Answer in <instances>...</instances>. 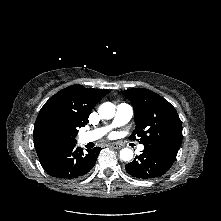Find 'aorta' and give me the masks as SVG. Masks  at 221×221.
<instances>
[{"mask_svg": "<svg viewBox=\"0 0 221 221\" xmlns=\"http://www.w3.org/2000/svg\"><path fill=\"white\" fill-rule=\"evenodd\" d=\"M115 105L111 102H105L100 105L98 113L102 119H112L115 115ZM133 158V151L129 148H124L120 151V159L130 161Z\"/></svg>", "mask_w": 221, "mask_h": 221, "instance_id": "762f6f07", "label": "aorta"}]
</instances>
